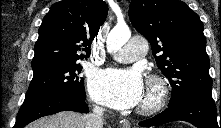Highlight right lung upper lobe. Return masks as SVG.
<instances>
[{"mask_svg": "<svg viewBox=\"0 0 221 128\" xmlns=\"http://www.w3.org/2000/svg\"><path fill=\"white\" fill-rule=\"evenodd\" d=\"M107 11L103 0H62L53 4L39 28L33 72L87 58ZM81 51L86 55H79Z\"/></svg>", "mask_w": 221, "mask_h": 128, "instance_id": "obj_1", "label": "right lung upper lobe"}]
</instances>
